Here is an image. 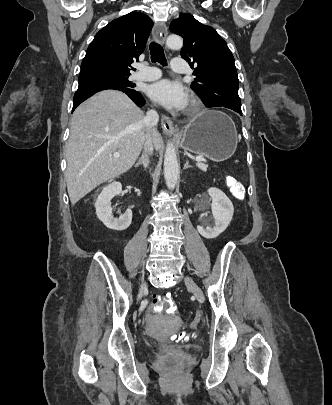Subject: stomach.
I'll return each mask as SVG.
<instances>
[{
  "label": "stomach",
  "mask_w": 332,
  "mask_h": 405,
  "mask_svg": "<svg viewBox=\"0 0 332 405\" xmlns=\"http://www.w3.org/2000/svg\"><path fill=\"white\" fill-rule=\"evenodd\" d=\"M182 147L215 162L229 159L237 148V132L223 112L208 110L198 114L181 131Z\"/></svg>",
  "instance_id": "obj_1"
}]
</instances>
